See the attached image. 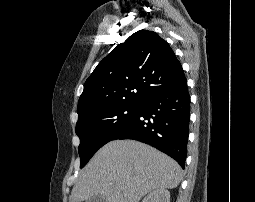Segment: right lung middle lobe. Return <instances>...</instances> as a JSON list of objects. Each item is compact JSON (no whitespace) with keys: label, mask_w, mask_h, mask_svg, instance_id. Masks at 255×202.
<instances>
[{"label":"right lung middle lobe","mask_w":255,"mask_h":202,"mask_svg":"<svg viewBox=\"0 0 255 202\" xmlns=\"http://www.w3.org/2000/svg\"><path fill=\"white\" fill-rule=\"evenodd\" d=\"M140 106L141 104L112 105L78 118L76 134L80 138L81 168L99 148L113 140L135 116Z\"/></svg>","instance_id":"obj_1"}]
</instances>
